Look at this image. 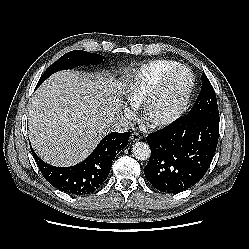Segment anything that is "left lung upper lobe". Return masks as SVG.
Listing matches in <instances>:
<instances>
[{
	"instance_id": "left-lung-upper-lobe-1",
	"label": "left lung upper lobe",
	"mask_w": 249,
	"mask_h": 249,
	"mask_svg": "<svg viewBox=\"0 0 249 249\" xmlns=\"http://www.w3.org/2000/svg\"><path fill=\"white\" fill-rule=\"evenodd\" d=\"M202 89L197 97L192 109L186 116H203L207 118L219 119V111L215 91L208 80L207 76L203 73Z\"/></svg>"
}]
</instances>
